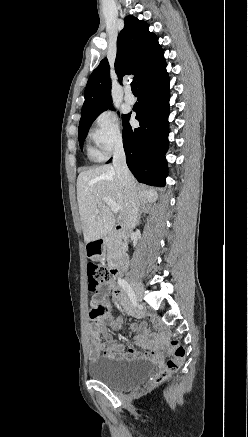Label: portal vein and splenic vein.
Returning <instances> with one entry per match:
<instances>
[{"mask_svg": "<svg viewBox=\"0 0 248 437\" xmlns=\"http://www.w3.org/2000/svg\"><path fill=\"white\" fill-rule=\"evenodd\" d=\"M103 201L110 207V209L115 213V214H117V213H119V211L121 210V207L116 203V202H114L111 198H109V197H104L103 198ZM97 211H99L98 209H97Z\"/></svg>", "mask_w": 248, "mask_h": 437, "instance_id": "portal-vein-and-splenic-vein-1", "label": "portal vein and splenic vein"}]
</instances>
